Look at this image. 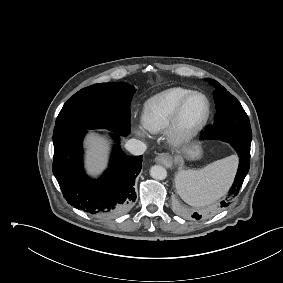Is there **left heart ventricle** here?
<instances>
[{
    "instance_id": "1",
    "label": "left heart ventricle",
    "mask_w": 283,
    "mask_h": 283,
    "mask_svg": "<svg viewBox=\"0 0 283 283\" xmlns=\"http://www.w3.org/2000/svg\"><path fill=\"white\" fill-rule=\"evenodd\" d=\"M205 111V103L202 97H191L184 106L181 115V126L188 129L197 124L202 118Z\"/></svg>"
}]
</instances>
